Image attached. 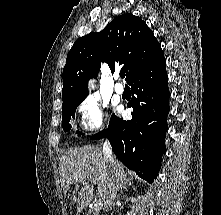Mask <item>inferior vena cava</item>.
<instances>
[{
    "mask_svg": "<svg viewBox=\"0 0 221 215\" xmlns=\"http://www.w3.org/2000/svg\"><path fill=\"white\" fill-rule=\"evenodd\" d=\"M103 154L110 163H114V158L112 156V149H111L110 144L107 141L103 144ZM117 183H118V180L115 177H112L109 180L108 190L103 198L104 206L106 207L107 210L111 209V206L115 200V196H116L115 185H117Z\"/></svg>",
    "mask_w": 221,
    "mask_h": 215,
    "instance_id": "602c4592",
    "label": "inferior vena cava"
}]
</instances>
